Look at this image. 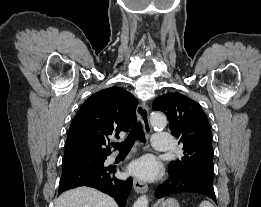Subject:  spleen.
Segmentation results:
<instances>
[{"instance_id":"3e777b00","label":"spleen","mask_w":261,"mask_h":207,"mask_svg":"<svg viewBox=\"0 0 261 207\" xmlns=\"http://www.w3.org/2000/svg\"><path fill=\"white\" fill-rule=\"evenodd\" d=\"M199 207H214L212 203L209 201H202L199 205Z\"/></svg>"}]
</instances>
